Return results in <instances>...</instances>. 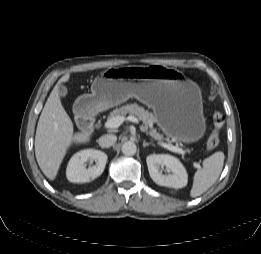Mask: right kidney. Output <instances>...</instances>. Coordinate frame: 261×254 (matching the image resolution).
<instances>
[{"label": "right kidney", "instance_id": "obj_1", "mask_svg": "<svg viewBox=\"0 0 261 254\" xmlns=\"http://www.w3.org/2000/svg\"><path fill=\"white\" fill-rule=\"evenodd\" d=\"M107 159L106 153L102 151L94 149L82 150L70 159L66 169L67 179L73 183L90 182L103 173ZM88 161H95L96 164L87 169L86 163Z\"/></svg>", "mask_w": 261, "mask_h": 254}]
</instances>
